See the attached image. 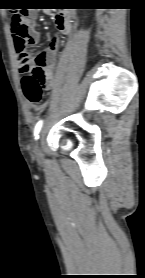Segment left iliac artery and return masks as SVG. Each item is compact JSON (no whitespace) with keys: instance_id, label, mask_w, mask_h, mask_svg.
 <instances>
[{"instance_id":"44dca946","label":"left iliac artery","mask_w":145,"mask_h":278,"mask_svg":"<svg viewBox=\"0 0 145 278\" xmlns=\"http://www.w3.org/2000/svg\"><path fill=\"white\" fill-rule=\"evenodd\" d=\"M42 124H43V120H40L37 124H36V126H35V128H34V138L35 139H38L39 138V132H40V130H41V128H42Z\"/></svg>"}]
</instances>
